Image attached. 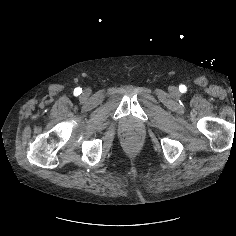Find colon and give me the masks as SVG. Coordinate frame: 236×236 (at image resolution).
Instances as JSON below:
<instances>
[{
    "instance_id": "5ec220e1",
    "label": "colon",
    "mask_w": 236,
    "mask_h": 236,
    "mask_svg": "<svg viewBox=\"0 0 236 236\" xmlns=\"http://www.w3.org/2000/svg\"><path fill=\"white\" fill-rule=\"evenodd\" d=\"M134 136V133L133 132H129L128 133V137H133Z\"/></svg>"
}]
</instances>
